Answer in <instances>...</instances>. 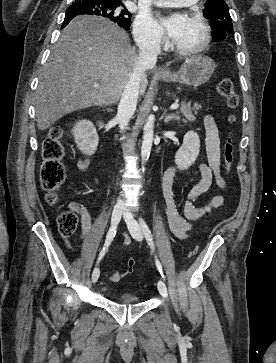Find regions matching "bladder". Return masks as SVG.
<instances>
[{"label":"bladder","mask_w":276,"mask_h":363,"mask_svg":"<svg viewBox=\"0 0 276 363\" xmlns=\"http://www.w3.org/2000/svg\"><path fill=\"white\" fill-rule=\"evenodd\" d=\"M118 301L121 303H124V304H135V303H139L141 301V299L130 293H124L120 296Z\"/></svg>","instance_id":"obj_1"}]
</instances>
